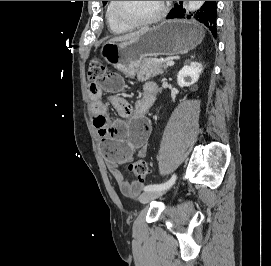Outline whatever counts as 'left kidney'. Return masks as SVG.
Here are the masks:
<instances>
[{"instance_id":"obj_1","label":"left kidney","mask_w":271,"mask_h":266,"mask_svg":"<svg viewBox=\"0 0 271 266\" xmlns=\"http://www.w3.org/2000/svg\"><path fill=\"white\" fill-rule=\"evenodd\" d=\"M203 70L201 64L191 62L190 65L184 66L177 74V82L180 87H188L196 83Z\"/></svg>"}]
</instances>
